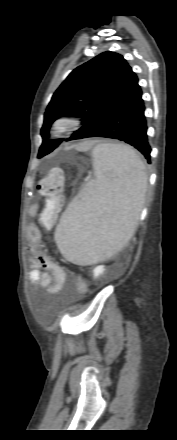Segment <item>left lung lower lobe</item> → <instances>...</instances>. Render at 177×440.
I'll use <instances>...</instances> for the list:
<instances>
[{"label":"left lung lower lobe","mask_w":177,"mask_h":440,"mask_svg":"<svg viewBox=\"0 0 177 440\" xmlns=\"http://www.w3.org/2000/svg\"><path fill=\"white\" fill-rule=\"evenodd\" d=\"M144 110L142 91L138 86L131 97L117 111L84 138L105 137L126 142L139 150L150 164L151 148L148 143Z\"/></svg>","instance_id":"1"}]
</instances>
